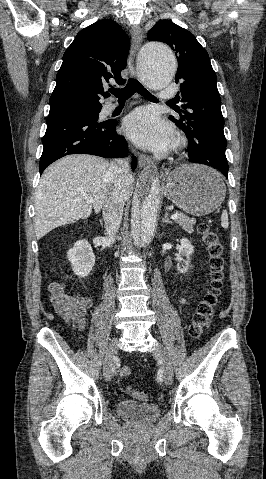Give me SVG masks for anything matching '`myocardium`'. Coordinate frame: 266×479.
I'll return each instance as SVG.
<instances>
[{
	"mask_svg": "<svg viewBox=\"0 0 266 479\" xmlns=\"http://www.w3.org/2000/svg\"><path fill=\"white\" fill-rule=\"evenodd\" d=\"M181 143H182V139H178V140H177V144L179 145V144H181Z\"/></svg>",
	"mask_w": 266,
	"mask_h": 479,
	"instance_id": "1",
	"label": "myocardium"
}]
</instances>
